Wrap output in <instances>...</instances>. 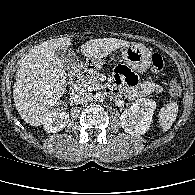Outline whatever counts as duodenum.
<instances>
[{
  "instance_id": "duodenum-1",
  "label": "duodenum",
  "mask_w": 195,
  "mask_h": 195,
  "mask_svg": "<svg viewBox=\"0 0 195 195\" xmlns=\"http://www.w3.org/2000/svg\"><path fill=\"white\" fill-rule=\"evenodd\" d=\"M95 66L93 64H87L85 67V72H90L94 70ZM71 92L73 94L78 93L81 90V83L79 81H75L71 84Z\"/></svg>"
}]
</instances>
